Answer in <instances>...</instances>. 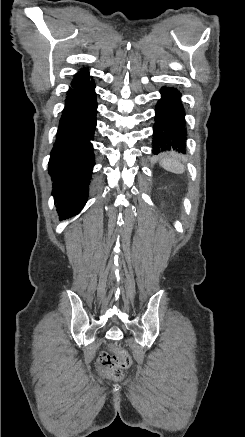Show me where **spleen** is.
Instances as JSON below:
<instances>
[{
  "label": "spleen",
  "instance_id": "spleen-1",
  "mask_svg": "<svg viewBox=\"0 0 245 437\" xmlns=\"http://www.w3.org/2000/svg\"><path fill=\"white\" fill-rule=\"evenodd\" d=\"M160 165L173 173L181 174L185 171L184 164L174 154L161 156Z\"/></svg>",
  "mask_w": 245,
  "mask_h": 437
}]
</instances>
